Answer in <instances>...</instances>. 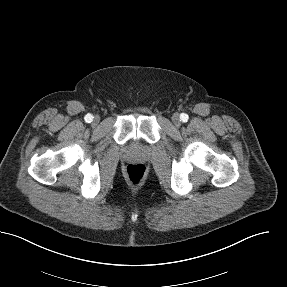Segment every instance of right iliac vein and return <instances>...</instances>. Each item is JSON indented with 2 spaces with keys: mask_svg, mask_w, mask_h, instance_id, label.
<instances>
[{
  "mask_svg": "<svg viewBox=\"0 0 287 287\" xmlns=\"http://www.w3.org/2000/svg\"><path fill=\"white\" fill-rule=\"evenodd\" d=\"M99 121H100V117L99 116H95L93 118V125H97L99 123Z\"/></svg>",
  "mask_w": 287,
  "mask_h": 287,
  "instance_id": "63e3f726",
  "label": "right iliac vein"
}]
</instances>
